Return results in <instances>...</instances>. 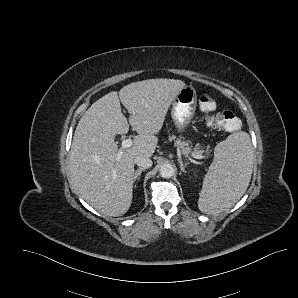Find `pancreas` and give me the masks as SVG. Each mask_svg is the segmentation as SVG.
Here are the masks:
<instances>
[{
  "label": "pancreas",
  "instance_id": "cf45deb5",
  "mask_svg": "<svg viewBox=\"0 0 298 298\" xmlns=\"http://www.w3.org/2000/svg\"><path fill=\"white\" fill-rule=\"evenodd\" d=\"M169 141H173L174 146L179 148L184 155H189L190 153L203 154L204 152L199 143L193 146L190 140H184L182 137L177 138L175 135H171L169 136Z\"/></svg>",
  "mask_w": 298,
  "mask_h": 298
}]
</instances>
